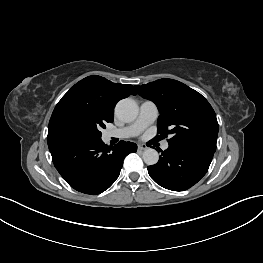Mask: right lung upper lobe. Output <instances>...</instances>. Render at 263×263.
Wrapping results in <instances>:
<instances>
[{
  "label": "right lung upper lobe",
  "mask_w": 263,
  "mask_h": 263,
  "mask_svg": "<svg viewBox=\"0 0 263 263\" xmlns=\"http://www.w3.org/2000/svg\"><path fill=\"white\" fill-rule=\"evenodd\" d=\"M135 95L132 85L113 83L101 76H88L76 83L56 105L48 128L49 149L69 144L58 135V123L63 114L75 108L99 112L113 120L116 103L129 95Z\"/></svg>",
  "instance_id": "right-lung-upper-lobe-1"
}]
</instances>
